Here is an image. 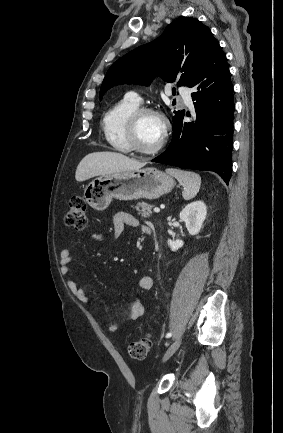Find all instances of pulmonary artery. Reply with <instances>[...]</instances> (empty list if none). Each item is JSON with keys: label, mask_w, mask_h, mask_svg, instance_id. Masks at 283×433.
Masks as SVG:
<instances>
[{"label": "pulmonary artery", "mask_w": 283, "mask_h": 433, "mask_svg": "<svg viewBox=\"0 0 283 433\" xmlns=\"http://www.w3.org/2000/svg\"><path fill=\"white\" fill-rule=\"evenodd\" d=\"M178 95L180 96V103L188 108L193 107L192 95L189 91L188 87H180L177 86ZM170 92V91H169ZM128 99L136 104H140L142 102L141 97L135 92L128 93Z\"/></svg>", "instance_id": "1"}]
</instances>
